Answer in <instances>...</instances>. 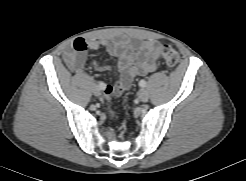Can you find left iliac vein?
I'll return each mask as SVG.
<instances>
[{"label": "left iliac vein", "mask_w": 246, "mask_h": 181, "mask_svg": "<svg viewBox=\"0 0 246 181\" xmlns=\"http://www.w3.org/2000/svg\"><path fill=\"white\" fill-rule=\"evenodd\" d=\"M138 97L142 102H147L149 99V94L145 89H141Z\"/></svg>", "instance_id": "left-iliac-vein-1"}]
</instances>
